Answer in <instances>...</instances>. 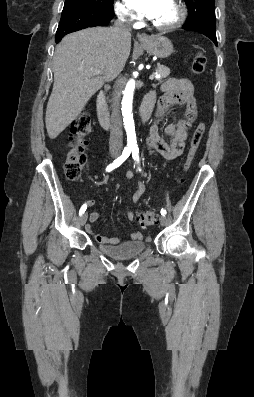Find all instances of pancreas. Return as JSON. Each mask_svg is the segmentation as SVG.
<instances>
[{"label": "pancreas", "mask_w": 254, "mask_h": 397, "mask_svg": "<svg viewBox=\"0 0 254 397\" xmlns=\"http://www.w3.org/2000/svg\"><path fill=\"white\" fill-rule=\"evenodd\" d=\"M156 71L160 75V77L157 80L165 79L170 74V69L168 67L160 65V64H158L156 66Z\"/></svg>", "instance_id": "obj_1"}]
</instances>
